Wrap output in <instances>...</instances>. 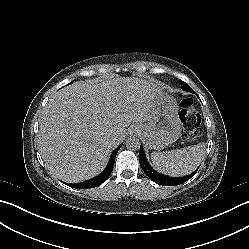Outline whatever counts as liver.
Masks as SVG:
<instances>
[{
    "mask_svg": "<svg viewBox=\"0 0 249 249\" xmlns=\"http://www.w3.org/2000/svg\"><path fill=\"white\" fill-rule=\"evenodd\" d=\"M158 91L146 80L120 78L76 82L59 92L39 125L37 147L45 166L72 173L75 182L97 176L123 140L125 128L151 118Z\"/></svg>",
    "mask_w": 249,
    "mask_h": 249,
    "instance_id": "obj_1",
    "label": "liver"
}]
</instances>
